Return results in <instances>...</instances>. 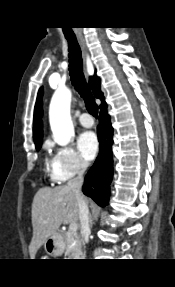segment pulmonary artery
Segmentation results:
<instances>
[{
	"mask_svg": "<svg viewBox=\"0 0 175 287\" xmlns=\"http://www.w3.org/2000/svg\"><path fill=\"white\" fill-rule=\"evenodd\" d=\"M79 122L84 127H92L94 125L92 116L87 113H84L79 117Z\"/></svg>",
	"mask_w": 175,
	"mask_h": 287,
	"instance_id": "obj_1",
	"label": "pulmonary artery"
}]
</instances>
